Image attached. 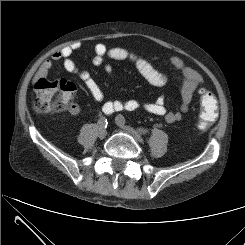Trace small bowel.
Here are the masks:
<instances>
[{
	"mask_svg": "<svg viewBox=\"0 0 245 245\" xmlns=\"http://www.w3.org/2000/svg\"><path fill=\"white\" fill-rule=\"evenodd\" d=\"M78 49H80V45L77 43L67 45L54 52L51 59L53 61H62L63 68L66 72L78 76L92 97L98 102H103L102 110L108 114L121 110L131 111L143 109L151 114L162 116L168 123L178 122L188 111L192 97L202 83V77L197 71L185 65L180 58L172 57L170 59V64L181 78V103L177 110H169L166 107L163 98H157L154 101H141L137 99L105 101V95L102 88L91 76L90 72L85 69H80L72 60V54ZM94 50L95 55L93 57V64L96 66L104 65V70L108 75L113 73V67L110 64H104L106 58L131 63L139 74L153 86H163L168 81L167 75L158 71L151 61L125 48L108 47L104 43H97L94 46ZM52 60H46L41 64L35 75V81L48 77L49 72L53 68ZM70 112L72 114H79L81 108L76 103H72Z\"/></svg>",
	"mask_w": 245,
	"mask_h": 245,
	"instance_id": "small-bowel-1",
	"label": "small bowel"
}]
</instances>
